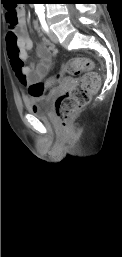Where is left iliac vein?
<instances>
[{
  "instance_id": "left-iliac-vein-1",
  "label": "left iliac vein",
  "mask_w": 122,
  "mask_h": 257,
  "mask_svg": "<svg viewBox=\"0 0 122 257\" xmlns=\"http://www.w3.org/2000/svg\"><path fill=\"white\" fill-rule=\"evenodd\" d=\"M49 38L52 42L58 43V37L52 30L49 31Z\"/></svg>"
}]
</instances>
